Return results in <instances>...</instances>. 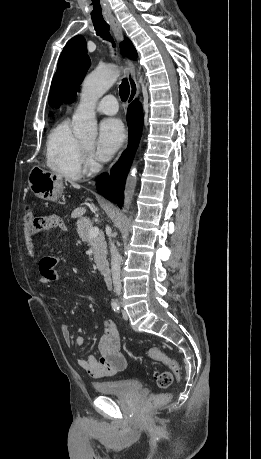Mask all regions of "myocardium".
Wrapping results in <instances>:
<instances>
[{
  "label": "myocardium",
  "mask_w": 261,
  "mask_h": 459,
  "mask_svg": "<svg viewBox=\"0 0 261 459\" xmlns=\"http://www.w3.org/2000/svg\"><path fill=\"white\" fill-rule=\"evenodd\" d=\"M82 150H83V152H85V151L88 150V147H86L85 145L82 144Z\"/></svg>",
  "instance_id": "f54148a6"
}]
</instances>
